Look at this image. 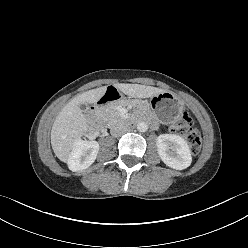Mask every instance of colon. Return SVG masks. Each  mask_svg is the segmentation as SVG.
Listing matches in <instances>:
<instances>
[{
	"instance_id": "5ec220e1",
	"label": "colon",
	"mask_w": 248,
	"mask_h": 248,
	"mask_svg": "<svg viewBox=\"0 0 248 248\" xmlns=\"http://www.w3.org/2000/svg\"><path fill=\"white\" fill-rule=\"evenodd\" d=\"M171 131L186 138L192 154L199 153L202 145L201 137L194 127L192 117L187 112L180 115L172 124Z\"/></svg>"
}]
</instances>
